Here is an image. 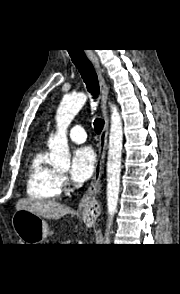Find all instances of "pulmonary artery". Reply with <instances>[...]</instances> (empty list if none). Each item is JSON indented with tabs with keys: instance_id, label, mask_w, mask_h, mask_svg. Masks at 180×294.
<instances>
[{
	"instance_id": "pulmonary-artery-1",
	"label": "pulmonary artery",
	"mask_w": 180,
	"mask_h": 294,
	"mask_svg": "<svg viewBox=\"0 0 180 294\" xmlns=\"http://www.w3.org/2000/svg\"><path fill=\"white\" fill-rule=\"evenodd\" d=\"M69 137L73 142L82 143L86 140L87 135L85 130L77 125L70 129Z\"/></svg>"
}]
</instances>
